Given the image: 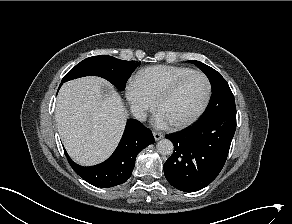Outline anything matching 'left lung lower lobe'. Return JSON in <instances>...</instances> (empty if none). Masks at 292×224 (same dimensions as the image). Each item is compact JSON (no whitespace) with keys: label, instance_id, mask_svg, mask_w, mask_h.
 <instances>
[{"label":"left lung lower lobe","instance_id":"1","mask_svg":"<svg viewBox=\"0 0 292 224\" xmlns=\"http://www.w3.org/2000/svg\"><path fill=\"white\" fill-rule=\"evenodd\" d=\"M235 130L236 109H229L166 135L174 145V153L164 163L168 182L183 192L209 185L224 166Z\"/></svg>","mask_w":292,"mask_h":224}]
</instances>
